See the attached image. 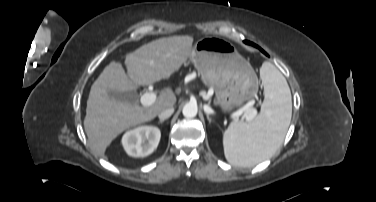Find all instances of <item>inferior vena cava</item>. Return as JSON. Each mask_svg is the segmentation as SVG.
Returning a JSON list of instances; mask_svg holds the SVG:
<instances>
[{
  "mask_svg": "<svg viewBox=\"0 0 376 202\" xmlns=\"http://www.w3.org/2000/svg\"><path fill=\"white\" fill-rule=\"evenodd\" d=\"M173 113H174V108H173V107H169V108H166L165 110L161 111V112L158 114V117H159L160 120H166V119H168Z\"/></svg>",
  "mask_w": 376,
  "mask_h": 202,
  "instance_id": "602c4592",
  "label": "inferior vena cava"
}]
</instances>
